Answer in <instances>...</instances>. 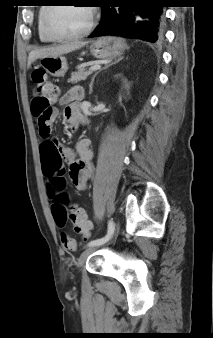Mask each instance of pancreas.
Here are the masks:
<instances>
[{"label":"pancreas","instance_id":"cf45deb5","mask_svg":"<svg viewBox=\"0 0 213 338\" xmlns=\"http://www.w3.org/2000/svg\"><path fill=\"white\" fill-rule=\"evenodd\" d=\"M90 74H92V71H91V70L87 71V70H85V69H83V68H82V69H79L77 72H73V73L71 74V78L68 80V82L74 84V83H77V82H79V81H81V80H86V78H87Z\"/></svg>","mask_w":213,"mask_h":338}]
</instances>
